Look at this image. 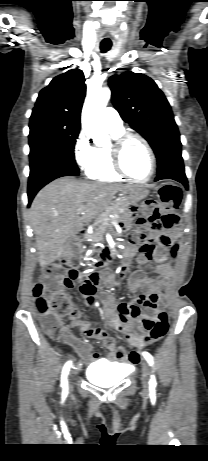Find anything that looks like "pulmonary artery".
Segmentation results:
<instances>
[{
  "label": "pulmonary artery",
  "mask_w": 208,
  "mask_h": 461,
  "mask_svg": "<svg viewBox=\"0 0 208 461\" xmlns=\"http://www.w3.org/2000/svg\"><path fill=\"white\" fill-rule=\"evenodd\" d=\"M103 122L108 129L118 130L123 127V122L119 113L111 107H108L104 110Z\"/></svg>",
  "instance_id": "1"
}]
</instances>
